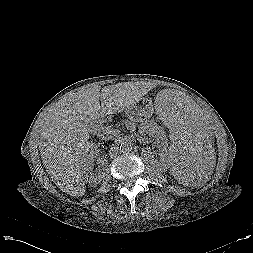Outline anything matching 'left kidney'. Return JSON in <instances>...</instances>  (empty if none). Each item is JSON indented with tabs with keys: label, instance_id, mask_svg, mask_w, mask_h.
Here are the masks:
<instances>
[{
	"label": "left kidney",
	"instance_id": "left-kidney-1",
	"mask_svg": "<svg viewBox=\"0 0 253 253\" xmlns=\"http://www.w3.org/2000/svg\"><path fill=\"white\" fill-rule=\"evenodd\" d=\"M139 132L141 135H149L150 137H154L157 141L159 148L162 151L161 159L163 160L168 159L170 161L166 134H165L164 129L161 126L157 125L155 122L143 123L139 127ZM173 173L174 175H177L179 177L178 172H173Z\"/></svg>",
	"mask_w": 253,
	"mask_h": 253
}]
</instances>
